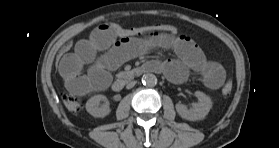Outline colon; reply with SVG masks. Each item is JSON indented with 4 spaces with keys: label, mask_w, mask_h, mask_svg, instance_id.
<instances>
[{
    "label": "colon",
    "mask_w": 279,
    "mask_h": 148,
    "mask_svg": "<svg viewBox=\"0 0 279 148\" xmlns=\"http://www.w3.org/2000/svg\"><path fill=\"white\" fill-rule=\"evenodd\" d=\"M106 27L109 28L117 37L119 38H134L157 34L159 32H169V33H179L180 29L177 26L171 24H154L147 26H136V27H123L117 23H105ZM72 43L65 44L59 54V59H61L66 53L72 49ZM233 90V83L228 80L223 88L222 95L228 97ZM63 102L68 111L71 113H78L82 106V101L79 96L76 95H64Z\"/></svg>",
    "instance_id": "1"
}]
</instances>
